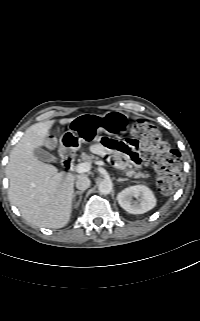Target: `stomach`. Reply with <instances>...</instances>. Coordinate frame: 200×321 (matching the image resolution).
<instances>
[{"mask_svg":"<svg viewBox=\"0 0 200 321\" xmlns=\"http://www.w3.org/2000/svg\"><path fill=\"white\" fill-rule=\"evenodd\" d=\"M128 123V115L121 111H109L104 115L81 114L70 122L69 130L62 135V147L75 152L82 143L95 140L101 131L112 135L126 132Z\"/></svg>","mask_w":200,"mask_h":321,"instance_id":"1","label":"stomach"}]
</instances>
